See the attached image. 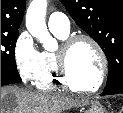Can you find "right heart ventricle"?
Instances as JSON below:
<instances>
[{"mask_svg": "<svg viewBox=\"0 0 123 113\" xmlns=\"http://www.w3.org/2000/svg\"><path fill=\"white\" fill-rule=\"evenodd\" d=\"M53 33L60 40H64L68 37V33ZM35 85L38 89L43 91H51L58 86L67 87L59 76L55 52L44 51L41 53L40 70Z\"/></svg>", "mask_w": 123, "mask_h": 113, "instance_id": "obj_1", "label": "right heart ventricle"}]
</instances>
